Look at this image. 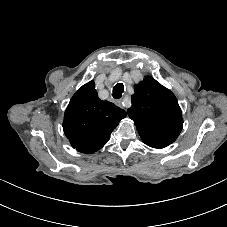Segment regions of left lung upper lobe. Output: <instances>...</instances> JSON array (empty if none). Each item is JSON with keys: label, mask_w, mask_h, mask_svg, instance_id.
<instances>
[{"label": "left lung upper lobe", "mask_w": 227, "mask_h": 227, "mask_svg": "<svg viewBox=\"0 0 227 227\" xmlns=\"http://www.w3.org/2000/svg\"><path fill=\"white\" fill-rule=\"evenodd\" d=\"M134 90L128 115L138 132L173 143L183 127L181 109L174 94L150 76L136 84Z\"/></svg>", "instance_id": "1"}]
</instances>
